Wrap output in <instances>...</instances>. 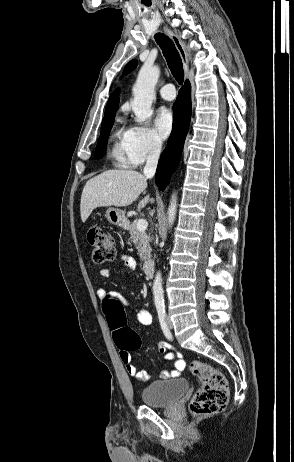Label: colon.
Listing matches in <instances>:
<instances>
[{"label": "colon", "instance_id": "obj_1", "mask_svg": "<svg viewBox=\"0 0 294 462\" xmlns=\"http://www.w3.org/2000/svg\"><path fill=\"white\" fill-rule=\"evenodd\" d=\"M87 239L95 263L103 264L115 258L113 239L101 228L89 227ZM102 310L113 332L116 346L126 352L139 349L142 344L141 339L127 326L123 306L113 293H107L103 297ZM189 369L202 383L191 399V411L197 415H213L221 412L228 402V384L223 373L201 361L191 362Z\"/></svg>", "mask_w": 294, "mask_h": 462}]
</instances>
